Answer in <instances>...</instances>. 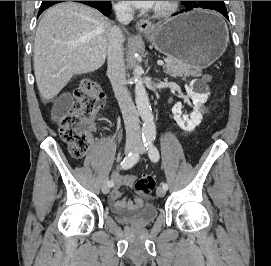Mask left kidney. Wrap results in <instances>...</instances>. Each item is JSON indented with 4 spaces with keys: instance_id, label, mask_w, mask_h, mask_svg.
Returning a JSON list of instances; mask_svg holds the SVG:
<instances>
[{
    "instance_id": "5707ae66",
    "label": "left kidney",
    "mask_w": 271,
    "mask_h": 266,
    "mask_svg": "<svg viewBox=\"0 0 271 266\" xmlns=\"http://www.w3.org/2000/svg\"><path fill=\"white\" fill-rule=\"evenodd\" d=\"M188 95L193 101V112L190 114V119L187 115H182V104L176 103L172 108L174 120L178 126L186 132H192L196 126L202 121L201 106L207 101L208 93H197L193 89H188Z\"/></svg>"
}]
</instances>
